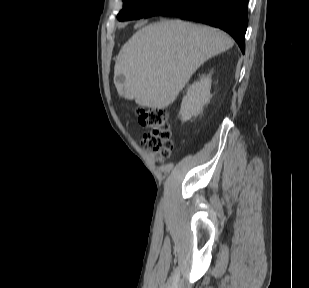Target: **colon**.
Instances as JSON below:
<instances>
[{
  "mask_svg": "<svg viewBox=\"0 0 309 288\" xmlns=\"http://www.w3.org/2000/svg\"><path fill=\"white\" fill-rule=\"evenodd\" d=\"M137 117L139 123L149 130L142 138L143 148L158 154V162L163 163L173 148L168 111L159 107H141L137 110Z\"/></svg>",
  "mask_w": 309,
  "mask_h": 288,
  "instance_id": "obj_1",
  "label": "colon"
}]
</instances>
